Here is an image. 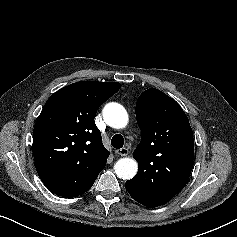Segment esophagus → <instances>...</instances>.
<instances>
[{
    "mask_svg": "<svg viewBox=\"0 0 237 237\" xmlns=\"http://www.w3.org/2000/svg\"><path fill=\"white\" fill-rule=\"evenodd\" d=\"M115 153L120 156H127L129 153V150L127 148H121V149H117Z\"/></svg>",
    "mask_w": 237,
    "mask_h": 237,
    "instance_id": "1",
    "label": "esophagus"
}]
</instances>
